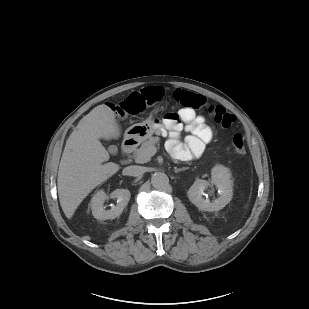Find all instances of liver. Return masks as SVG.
Wrapping results in <instances>:
<instances>
[{
  "instance_id": "1",
  "label": "liver",
  "mask_w": 309,
  "mask_h": 309,
  "mask_svg": "<svg viewBox=\"0 0 309 309\" xmlns=\"http://www.w3.org/2000/svg\"><path fill=\"white\" fill-rule=\"evenodd\" d=\"M120 126L105 104L92 109L70 134L59 165L57 188L65 216L71 219L80 203L97 186L119 171L100 138L117 139Z\"/></svg>"
}]
</instances>
